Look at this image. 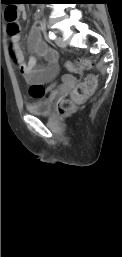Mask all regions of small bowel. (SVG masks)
<instances>
[{
    "mask_svg": "<svg viewBox=\"0 0 122 257\" xmlns=\"http://www.w3.org/2000/svg\"><path fill=\"white\" fill-rule=\"evenodd\" d=\"M17 12L21 14L23 19L27 17L26 10L23 6L18 7ZM20 38L19 32L10 35V47L12 51L10 52V57L15 60L12 73H21L30 84L54 81L59 72L58 53L43 42L41 25L38 18L34 19L33 26L30 30L28 47L31 52L44 59L45 63L43 65L38 64L37 58L34 55L26 58L21 48ZM51 93L52 90H50Z\"/></svg>",
    "mask_w": 122,
    "mask_h": 257,
    "instance_id": "obj_1",
    "label": "small bowel"
}]
</instances>
